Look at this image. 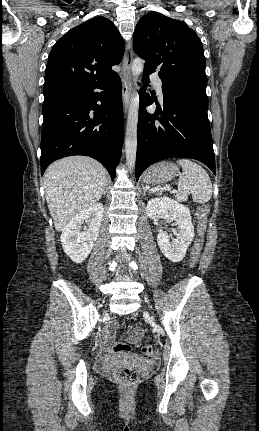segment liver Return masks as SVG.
<instances>
[{"label": "liver", "instance_id": "6515ba94", "mask_svg": "<svg viewBox=\"0 0 259 431\" xmlns=\"http://www.w3.org/2000/svg\"><path fill=\"white\" fill-rule=\"evenodd\" d=\"M107 182L105 168L90 157H66L51 164L44 187L56 230L62 231L76 214L97 203Z\"/></svg>", "mask_w": 259, "mask_h": 431}]
</instances>
